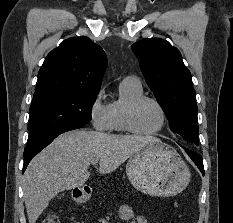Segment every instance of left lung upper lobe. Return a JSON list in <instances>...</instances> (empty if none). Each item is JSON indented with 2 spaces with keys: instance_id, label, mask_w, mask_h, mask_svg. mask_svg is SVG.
<instances>
[{
  "instance_id": "1",
  "label": "left lung upper lobe",
  "mask_w": 233,
  "mask_h": 223,
  "mask_svg": "<svg viewBox=\"0 0 233 223\" xmlns=\"http://www.w3.org/2000/svg\"><path fill=\"white\" fill-rule=\"evenodd\" d=\"M145 80L165 112L171 130L198 145L195 90L191 73L177 48L159 38H145L132 45Z\"/></svg>"
}]
</instances>
